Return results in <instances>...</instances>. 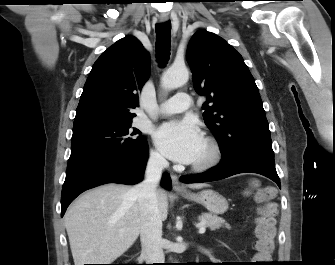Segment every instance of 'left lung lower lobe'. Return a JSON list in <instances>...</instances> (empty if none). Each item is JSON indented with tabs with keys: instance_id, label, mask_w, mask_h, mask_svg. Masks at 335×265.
<instances>
[{
	"instance_id": "left-lung-lower-lobe-1",
	"label": "left lung lower lobe",
	"mask_w": 335,
	"mask_h": 265,
	"mask_svg": "<svg viewBox=\"0 0 335 265\" xmlns=\"http://www.w3.org/2000/svg\"><path fill=\"white\" fill-rule=\"evenodd\" d=\"M245 172L266 176L281 188L280 179L275 169L274 157L256 151H239L222 157L221 162L211 170L200 174L182 176L180 180L183 183L210 182Z\"/></svg>"
}]
</instances>
